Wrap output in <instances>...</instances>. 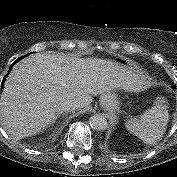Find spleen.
<instances>
[{"mask_svg": "<svg viewBox=\"0 0 177 177\" xmlns=\"http://www.w3.org/2000/svg\"><path fill=\"white\" fill-rule=\"evenodd\" d=\"M169 122V113L163 97H157L154 106L146 110L138 119L125 123L129 132L147 145L157 143L164 135Z\"/></svg>", "mask_w": 177, "mask_h": 177, "instance_id": "obj_1", "label": "spleen"}]
</instances>
